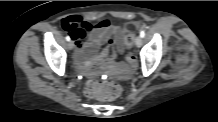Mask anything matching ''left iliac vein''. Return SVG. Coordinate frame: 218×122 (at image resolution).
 <instances>
[{
	"label": "left iliac vein",
	"mask_w": 218,
	"mask_h": 122,
	"mask_svg": "<svg viewBox=\"0 0 218 122\" xmlns=\"http://www.w3.org/2000/svg\"><path fill=\"white\" fill-rule=\"evenodd\" d=\"M135 44L137 47H141V45H142V37L141 36L136 37Z\"/></svg>",
	"instance_id": "obj_1"
}]
</instances>
